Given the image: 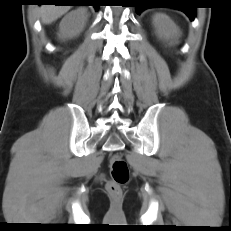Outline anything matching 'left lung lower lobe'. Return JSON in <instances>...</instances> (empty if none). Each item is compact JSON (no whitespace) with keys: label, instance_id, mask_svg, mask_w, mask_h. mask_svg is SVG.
<instances>
[{"label":"left lung lower lobe","instance_id":"0a47b994","mask_svg":"<svg viewBox=\"0 0 231 231\" xmlns=\"http://www.w3.org/2000/svg\"><path fill=\"white\" fill-rule=\"evenodd\" d=\"M134 3L138 14L150 7H171L185 12L191 20L196 16V7L189 0H135Z\"/></svg>","mask_w":231,"mask_h":231}]
</instances>
